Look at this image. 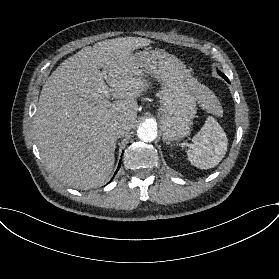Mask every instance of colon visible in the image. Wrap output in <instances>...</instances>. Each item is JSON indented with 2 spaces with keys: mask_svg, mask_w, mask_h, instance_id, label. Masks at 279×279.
Segmentation results:
<instances>
[{
  "mask_svg": "<svg viewBox=\"0 0 279 279\" xmlns=\"http://www.w3.org/2000/svg\"><path fill=\"white\" fill-rule=\"evenodd\" d=\"M200 74L202 75V74H203V71H200Z\"/></svg>",
  "mask_w": 279,
  "mask_h": 279,
  "instance_id": "colon-1",
  "label": "colon"
}]
</instances>
